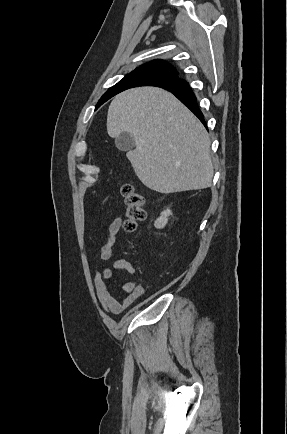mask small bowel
<instances>
[{"instance_id":"small-bowel-1","label":"small bowel","mask_w":287,"mask_h":434,"mask_svg":"<svg viewBox=\"0 0 287 434\" xmlns=\"http://www.w3.org/2000/svg\"><path fill=\"white\" fill-rule=\"evenodd\" d=\"M122 226L121 218L113 219L105 230V238L101 245L99 252L100 261L104 262L112 257L113 246L116 242L117 235L119 234ZM126 270L133 271L131 264L125 259L115 260L111 266L102 265L96 272L94 278V285L99 303L106 312L113 314H121L124 310L134 304L142 295L143 288L138 286L130 295L118 301L110 291L108 280L114 277L116 271Z\"/></svg>"}]
</instances>
